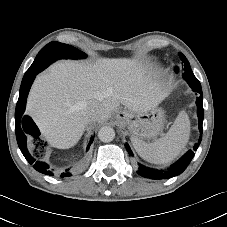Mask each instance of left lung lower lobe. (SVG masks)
<instances>
[{"label":"left lung lower lobe","mask_w":227,"mask_h":227,"mask_svg":"<svg viewBox=\"0 0 227 227\" xmlns=\"http://www.w3.org/2000/svg\"><path fill=\"white\" fill-rule=\"evenodd\" d=\"M200 94L198 99L196 100L197 104V115L199 119V131H200V138L198 143H196L193 147V150H189L185 155H183L176 163H174L166 172H159L157 170H153L151 168L145 167L143 165H139L138 174L150 178V179H166L177 176L181 174L189 165L192 158L194 157V150H197L199 144L201 143L202 139V124H203V117H204V110H203V96L202 90H196ZM125 148L129 154V156H133V153L128 144H125Z\"/></svg>","instance_id":"left-lung-lower-lobe-1"}]
</instances>
